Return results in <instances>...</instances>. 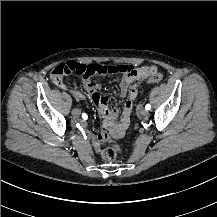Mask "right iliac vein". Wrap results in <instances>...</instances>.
Returning <instances> with one entry per match:
<instances>
[{
	"label": "right iliac vein",
	"instance_id": "1",
	"mask_svg": "<svg viewBox=\"0 0 217 217\" xmlns=\"http://www.w3.org/2000/svg\"><path fill=\"white\" fill-rule=\"evenodd\" d=\"M72 116H73L74 118H78V117L80 116V110H79L78 108H74V109L72 110Z\"/></svg>",
	"mask_w": 217,
	"mask_h": 217
}]
</instances>
